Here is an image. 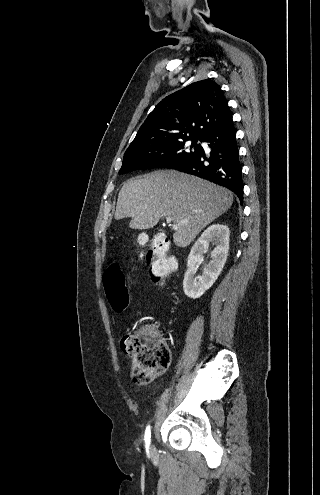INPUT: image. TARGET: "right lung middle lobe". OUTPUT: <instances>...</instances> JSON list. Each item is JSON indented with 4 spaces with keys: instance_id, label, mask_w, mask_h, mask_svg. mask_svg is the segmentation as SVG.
<instances>
[{
    "instance_id": "obj_1",
    "label": "right lung middle lobe",
    "mask_w": 320,
    "mask_h": 495,
    "mask_svg": "<svg viewBox=\"0 0 320 495\" xmlns=\"http://www.w3.org/2000/svg\"><path fill=\"white\" fill-rule=\"evenodd\" d=\"M191 141V145H188ZM200 138H185L178 141L142 145L126 150L120 173L138 169L173 168L191 158L200 148Z\"/></svg>"
}]
</instances>
